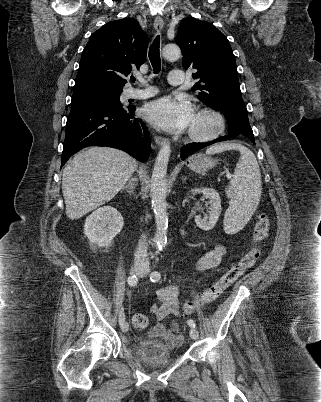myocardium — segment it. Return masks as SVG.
I'll return each instance as SVG.
<instances>
[{"instance_id": "1", "label": "myocardium", "mask_w": 321, "mask_h": 402, "mask_svg": "<svg viewBox=\"0 0 321 402\" xmlns=\"http://www.w3.org/2000/svg\"><path fill=\"white\" fill-rule=\"evenodd\" d=\"M195 113L208 115L213 118L215 122L214 128L207 133H199L193 130L187 131V138L193 142H208L220 137L226 128V121L224 116L216 109L210 107H200L196 109Z\"/></svg>"}]
</instances>
